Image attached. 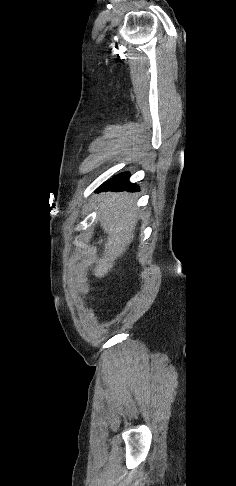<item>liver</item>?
Segmentation results:
<instances>
[{"label": "liver", "mask_w": 236, "mask_h": 486, "mask_svg": "<svg viewBox=\"0 0 236 486\" xmlns=\"http://www.w3.org/2000/svg\"><path fill=\"white\" fill-rule=\"evenodd\" d=\"M98 208L100 226L107 234V240L93 272L96 277L102 278L133 241L137 216L129 193H103L99 195Z\"/></svg>", "instance_id": "liver-1"}]
</instances>
